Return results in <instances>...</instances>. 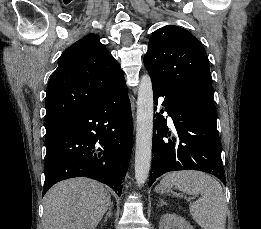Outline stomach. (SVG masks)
<instances>
[{
  "label": "stomach",
  "mask_w": 261,
  "mask_h": 229,
  "mask_svg": "<svg viewBox=\"0 0 261 229\" xmlns=\"http://www.w3.org/2000/svg\"><path fill=\"white\" fill-rule=\"evenodd\" d=\"M173 185H169V183H160L158 187H156L157 193H172Z\"/></svg>",
  "instance_id": "1"
}]
</instances>
